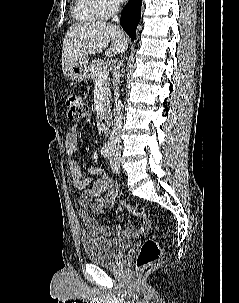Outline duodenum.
Wrapping results in <instances>:
<instances>
[{
  "label": "duodenum",
  "instance_id": "duodenum-1",
  "mask_svg": "<svg viewBox=\"0 0 239 303\" xmlns=\"http://www.w3.org/2000/svg\"><path fill=\"white\" fill-rule=\"evenodd\" d=\"M98 125L100 130L102 131H107L109 128V112L108 111H104L99 119H98Z\"/></svg>",
  "mask_w": 239,
  "mask_h": 303
}]
</instances>
